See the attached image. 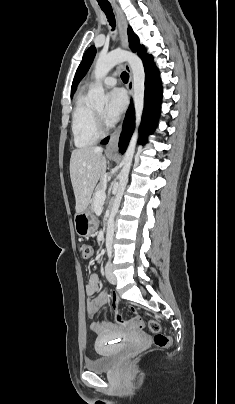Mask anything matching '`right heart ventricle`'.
Segmentation results:
<instances>
[{
	"label": "right heart ventricle",
	"mask_w": 235,
	"mask_h": 404,
	"mask_svg": "<svg viewBox=\"0 0 235 404\" xmlns=\"http://www.w3.org/2000/svg\"><path fill=\"white\" fill-rule=\"evenodd\" d=\"M71 130L74 143L79 148L96 144L101 136L96 124L95 110L88 105L83 94L76 100Z\"/></svg>",
	"instance_id": "right-heart-ventricle-1"
}]
</instances>
